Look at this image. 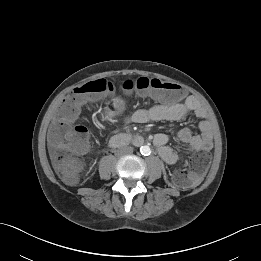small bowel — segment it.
I'll use <instances>...</instances> for the list:
<instances>
[{
	"label": "small bowel",
	"instance_id": "small-bowel-1",
	"mask_svg": "<svg viewBox=\"0 0 261 261\" xmlns=\"http://www.w3.org/2000/svg\"><path fill=\"white\" fill-rule=\"evenodd\" d=\"M188 113H194L199 119L200 133L195 134L188 128H183L177 133L178 140L189 150H210L213 145L212 129L205 118L206 112L199 100L194 96L187 97L182 103L164 105L155 104L148 108L135 111L126 122L147 123L150 121H179ZM161 158L168 164H175L180 160V154L169 146L168 137L164 133H157L153 139Z\"/></svg>",
	"mask_w": 261,
	"mask_h": 261
}]
</instances>
